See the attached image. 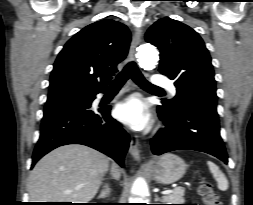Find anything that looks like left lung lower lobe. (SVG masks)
<instances>
[{
    "label": "left lung lower lobe",
    "mask_w": 253,
    "mask_h": 205,
    "mask_svg": "<svg viewBox=\"0 0 253 205\" xmlns=\"http://www.w3.org/2000/svg\"><path fill=\"white\" fill-rule=\"evenodd\" d=\"M158 113L164 125L151 140L155 155L187 149L205 152L228 162L220 137L216 105L201 101L184 102L172 110L163 101L158 106Z\"/></svg>",
    "instance_id": "0a47b994"
}]
</instances>
